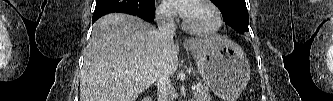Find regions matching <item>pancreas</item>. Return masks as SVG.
<instances>
[{
	"mask_svg": "<svg viewBox=\"0 0 333 101\" xmlns=\"http://www.w3.org/2000/svg\"><path fill=\"white\" fill-rule=\"evenodd\" d=\"M193 95L195 101H211V95L206 85H197Z\"/></svg>",
	"mask_w": 333,
	"mask_h": 101,
	"instance_id": "cf45deb5",
	"label": "pancreas"
}]
</instances>
